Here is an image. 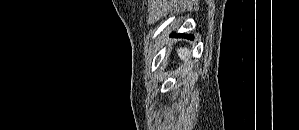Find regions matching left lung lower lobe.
I'll return each mask as SVG.
<instances>
[{"mask_svg":"<svg viewBox=\"0 0 299 130\" xmlns=\"http://www.w3.org/2000/svg\"><path fill=\"white\" fill-rule=\"evenodd\" d=\"M171 36H176V37H185V38H189V39H193V35L189 34H178V35H175V34H172Z\"/></svg>","mask_w":299,"mask_h":130,"instance_id":"0a47b994","label":"left lung lower lobe"}]
</instances>
